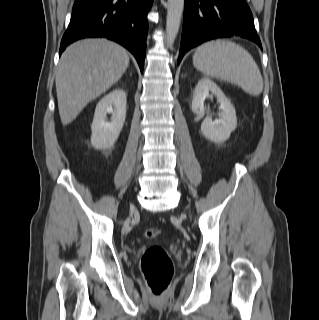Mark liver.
<instances>
[{"mask_svg":"<svg viewBox=\"0 0 319 320\" xmlns=\"http://www.w3.org/2000/svg\"><path fill=\"white\" fill-rule=\"evenodd\" d=\"M128 65L127 51L108 39H84L70 45L60 58L55 78L62 124H70L89 102L111 88Z\"/></svg>","mask_w":319,"mask_h":320,"instance_id":"obj_1","label":"liver"}]
</instances>
